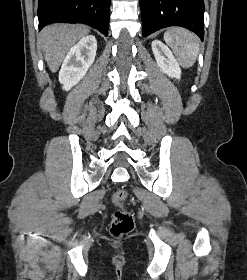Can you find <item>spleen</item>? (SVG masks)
Here are the masks:
<instances>
[{"label":"spleen","mask_w":247,"mask_h":280,"mask_svg":"<svg viewBox=\"0 0 247 280\" xmlns=\"http://www.w3.org/2000/svg\"><path fill=\"white\" fill-rule=\"evenodd\" d=\"M164 40L182 67L189 68L194 65L199 53V38L194 33L180 27H172L164 33Z\"/></svg>","instance_id":"3e777b00"}]
</instances>
